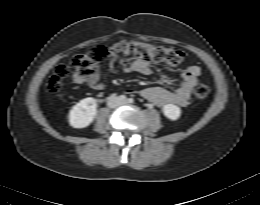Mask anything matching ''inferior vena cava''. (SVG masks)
I'll return each instance as SVG.
<instances>
[{"mask_svg": "<svg viewBox=\"0 0 260 205\" xmlns=\"http://www.w3.org/2000/svg\"><path fill=\"white\" fill-rule=\"evenodd\" d=\"M121 104V101L119 100L118 97H111L108 101V106L110 108H115Z\"/></svg>", "mask_w": 260, "mask_h": 205, "instance_id": "1", "label": "inferior vena cava"}]
</instances>
